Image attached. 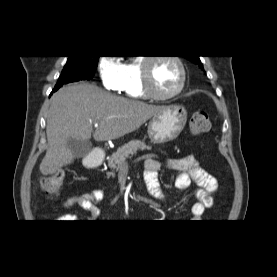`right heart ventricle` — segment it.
<instances>
[{
    "label": "right heart ventricle",
    "instance_id": "e07e8e85",
    "mask_svg": "<svg viewBox=\"0 0 277 277\" xmlns=\"http://www.w3.org/2000/svg\"><path fill=\"white\" fill-rule=\"evenodd\" d=\"M142 61L143 60L141 58H137L122 65L124 79L122 91L126 94V96L133 99L146 98L141 84Z\"/></svg>",
    "mask_w": 277,
    "mask_h": 277
}]
</instances>
